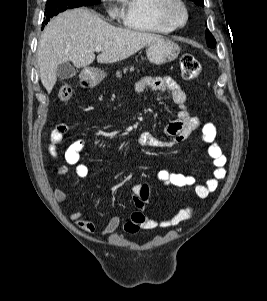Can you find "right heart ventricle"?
I'll list each match as a JSON object with an SVG mask.
<instances>
[{"label": "right heart ventricle", "instance_id": "right-heart-ventricle-1", "mask_svg": "<svg viewBox=\"0 0 267 301\" xmlns=\"http://www.w3.org/2000/svg\"><path fill=\"white\" fill-rule=\"evenodd\" d=\"M123 25L139 32L170 33L175 28L159 14L162 0H120Z\"/></svg>", "mask_w": 267, "mask_h": 301}]
</instances>
